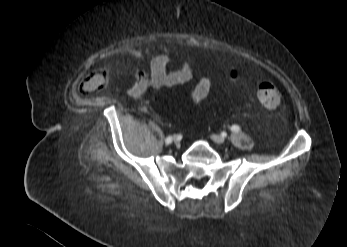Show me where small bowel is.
Segmentation results:
<instances>
[{
    "instance_id": "small-bowel-1",
    "label": "small bowel",
    "mask_w": 347,
    "mask_h": 247,
    "mask_svg": "<svg viewBox=\"0 0 347 247\" xmlns=\"http://www.w3.org/2000/svg\"><path fill=\"white\" fill-rule=\"evenodd\" d=\"M125 55L135 60H139L142 56L141 52L136 49L125 51ZM170 57L171 55L167 51L156 54L151 60L149 74L142 69H135L133 71L134 82L127 89V94L134 99H139L149 89L158 91L162 88H175L190 81L193 77L194 56L188 54L179 68L168 71L167 65ZM110 73V71L105 70L86 77L80 84L81 91L87 93L99 89ZM211 87L212 76L201 78L189 93V101L193 105L200 104L209 96Z\"/></svg>"
}]
</instances>
